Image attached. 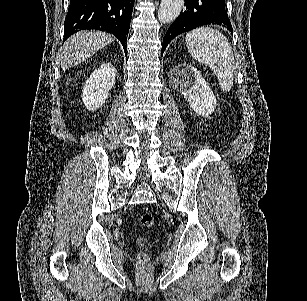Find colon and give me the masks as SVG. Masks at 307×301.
I'll list each match as a JSON object with an SVG mask.
<instances>
[{"instance_id":"5ec220e1","label":"colon","mask_w":307,"mask_h":301,"mask_svg":"<svg viewBox=\"0 0 307 301\" xmlns=\"http://www.w3.org/2000/svg\"><path fill=\"white\" fill-rule=\"evenodd\" d=\"M139 223L142 227H145V228H150L153 226L154 224V216L151 214V213H144L140 216L139 218ZM138 244L141 246V247H144L146 245V239L144 237H140L138 239ZM148 260V256L146 254L145 251H140L139 254H138V261L140 264H145Z\"/></svg>"}]
</instances>
